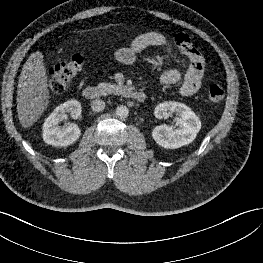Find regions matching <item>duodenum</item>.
Masks as SVG:
<instances>
[{
	"mask_svg": "<svg viewBox=\"0 0 263 263\" xmlns=\"http://www.w3.org/2000/svg\"><path fill=\"white\" fill-rule=\"evenodd\" d=\"M125 91L130 99L137 102H143L146 99V95L142 91L135 90L133 88H126ZM82 95L87 100H94L100 97L101 91L98 87L89 85L83 89Z\"/></svg>",
	"mask_w": 263,
	"mask_h": 263,
	"instance_id": "410a0bca",
	"label": "duodenum"
}]
</instances>
